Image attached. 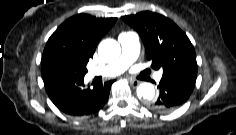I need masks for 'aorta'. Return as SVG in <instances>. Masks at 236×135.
<instances>
[{
	"label": "aorta",
	"instance_id": "1",
	"mask_svg": "<svg viewBox=\"0 0 236 135\" xmlns=\"http://www.w3.org/2000/svg\"><path fill=\"white\" fill-rule=\"evenodd\" d=\"M120 45L114 39H105L98 46V54L100 58L111 63L116 61L120 56ZM137 96L145 100H152L155 96V89L151 83H142L137 87Z\"/></svg>",
	"mask_w": 236,
	"mask_h": 135
}]
</instances>
